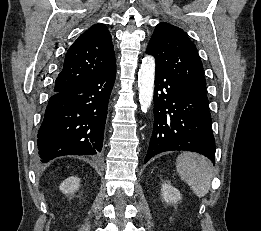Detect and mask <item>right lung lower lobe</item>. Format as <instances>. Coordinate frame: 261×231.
<instances>
[{
	"label": "right lung lower lobe",
	"mask_w": 261,
	"mask_h": 231,
	"mask_svg": "<svg viewBox=\"0 0 261 231\" xmlns=\"http://www.w3.org/2000/svg\"><path fill=\"white\" fill-rule=\"evenodd\" d=\"M116 66L49 99L38 132L42 163L63 155H99Z\"/></svg>",
	"instance_id": "1"
}]
</instances>
